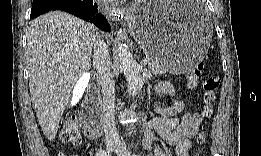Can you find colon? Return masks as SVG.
I'll list each match as a JSON object with an SVG mask.
<instances>
[{
  "label": "colon",
  "instance_id": "colon-1",
  "mask_svg": "<svg viewBox=\"0 0 261 156\" xmlns=\"http://www.w3.org/2000/svg\"><path fill=\"white\" fill-rule=\"evenodd\" d=\"M203 69V64L198 63L192 69L189 70L187 74L188 84L190 88H195L200 80L201 72ZM220 86V78L218 76H208L202 82L203 88V107L202 115L208 119L212 116L214 111V104L216 100V95L218 88ZM84 123V122H83ZM84 131L90 137H97L100 135V128L95 124H85ZM61 140L65 143H70L77 145L80 143V124L75 119V117L70 118L62 128ZM206 141V131L202 127L196 136V143L198 145H203Z\"/></svg>",
  "mask_w": 261,
  "mask_h": 156
}]
</instances>
